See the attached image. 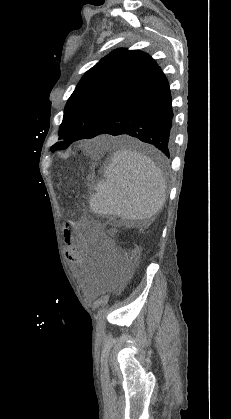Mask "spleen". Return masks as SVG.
I'll use <instances>...</instances> for the list:
<instances>
[{
  "label": "spleen",
  "instance_id": "obj_1",
  "mask_svg": "<svg viewBox=\"0 0 231 419\" xmlns=\"http://www.w3.org/2000/svg\"><path fill=\"white\" fill-rule=\"evenodd\" d=\"M104 178L90 199L93 212L142 220L151 219L163 207L165 178L156 164L141 153L117 150L105 169Z\"/></svg>",
  "mask_w": 231,
  "mask_h": 419
}]
</instances>
